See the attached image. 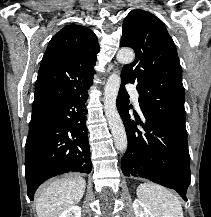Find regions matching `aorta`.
I'll return each instance as SVG.
<instances>
[{
  "label": "aorta",
  "mask_w": 211,
  "mask_h": 217,
  "mask_svg": "<svg viewBox=\"0 0 211 217\" xmlns=\"http://www.w3.org/2000/svg\"><path fill=\"white\" fill-rule=\"evenodd\" d=\"M116 58L122 64H129L134 60L135 54L131 49L123 48L118 51ZM120 83L121 77L117 72L112 73L108 77L104 88V109L114 138L115 147L117 150L123 152L127 148V136L116 107Z\"/></svg>",
  "instance_id": "aorta-1"
}]
</instances>
